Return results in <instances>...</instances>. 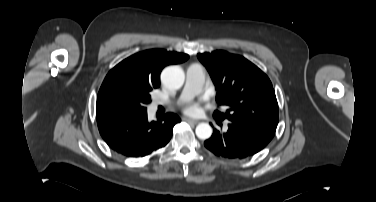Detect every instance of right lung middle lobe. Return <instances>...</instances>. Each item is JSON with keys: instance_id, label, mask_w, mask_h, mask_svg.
Instances as JSON below:
<instances>
[{"instance_id": "obj_1", "label": "right lung middle lobe", "mask_w": 376, "mask_h": 202, "mask_svg": "<svg viewBox=\"0 0 376 202\" xmlns=\"http://www.w3.org/2000/svg\"><path fill=\"white\" fill-rule=\"evenodd\" d=\"M160 84L138 78L129 73H115L106 77L97 96V115H132L147 112L150 92Z\"/></svg>"}]
</instances>
